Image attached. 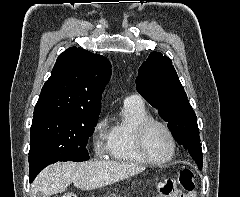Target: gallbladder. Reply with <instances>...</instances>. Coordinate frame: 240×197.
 Listing matches in <instances>:
<instances>
[{"label":"gallbladder","mask_w":240,"mask_h":197,"mask_svg":"<svg viewBox=\"0 0 240 197\" xmlns=\"http://www.w3.org/2000/svg\"><path fill=\"white\" fill-rule=\"evenodd\" d=\"M36 197H46V196H44L43 193L38 192L37 195H36Z\"/></svg>","instance_id":"1"}]
</instances>
